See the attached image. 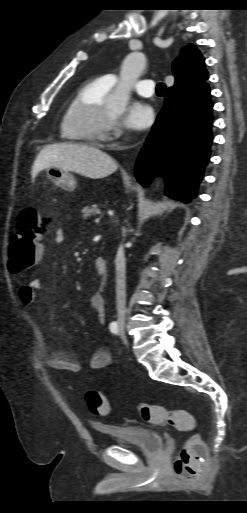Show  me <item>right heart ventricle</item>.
<instances>
[{"instance_id":"e07e8e85","label":"right heart ventricle","mask_w":247,"mask_h":513,"mask_svg":"<svg viewBox=\"0 0 247 513\" xmlns=\"http://www.w3.org/2000/svg\"><path fill=\"white\" fill-rule=\"evenodd\" d=\"M110 89L111 86L106 85L100 78L88 80L77 89L61 118L60 132L63 139L74 143L96 141L77 125L86 112L105 103V97Z\"/></svg>"}]
</instances>
